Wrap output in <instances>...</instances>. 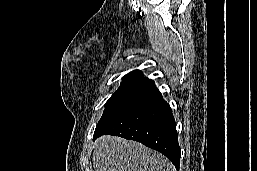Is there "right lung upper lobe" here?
I'll return each mask as SVG.
<instances>
[{
  "mask_svg": "<svg viewBox=\"0 0 257 171\" xmlns=\"http://www.w3.org/2000/svg\"><path fill=\"white\" fill-rule=\"evenodd\" d=\"M146 86L148 90L154 87L152 80L144 77L143 73L139 70H134L122 78L120 89L131 90L139 87Z\"/></svg>",
  "mask_w": 257,
  "mask_h": 171,
  "instance_id": "right-lung-upper-lobe-1",
  "label": "right lung upper lobe"
}]
</instances>
